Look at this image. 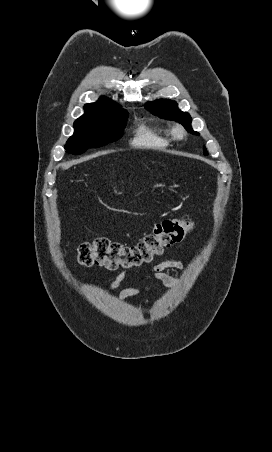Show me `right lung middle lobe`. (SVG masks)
<instances>
[{"instance_id":"obj_1","label":"right lung middle lobe","mask_w":272,"mask_h":452,"mask_svg":"<svg viewBox=\"0 0 272 452\" xmlns=\"http://www.w3.org/2000/svg\"><path fill=\"white\" fill-rule=\"evenodd\" d=\"M127 112L120 106L98 116L74 122V134L65 149L70 154H82L87 148H98L114 142L122 136Z\"/></svg>"}]
</instances>
